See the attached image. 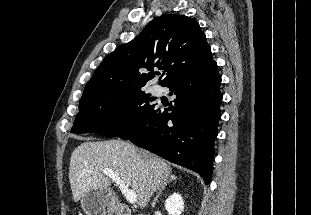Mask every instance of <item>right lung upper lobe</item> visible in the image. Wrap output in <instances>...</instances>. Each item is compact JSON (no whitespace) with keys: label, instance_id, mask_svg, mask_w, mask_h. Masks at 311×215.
<instances>
[{"label":"right lung upper lobe","instance_id":"right-lung-upper-lobe-1","mask_svg":"<svg viewBox=\"0 0 311 215\" xmlns=\"http://www.w3.org/2000/svg\"><path fill=\"white\" fill-rule=\"evenodd\" d=\"M212 61L211 48L197 21L185 15L163 14L150 21L134 40L106 56L80 102L102 94L140 90L154 78V68L166 72L159 83L166 86Z\"/></svg>","mask_w":311,"mask_h":215}]
</instances>
